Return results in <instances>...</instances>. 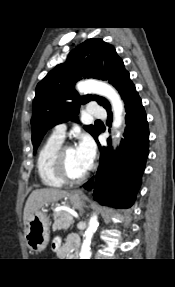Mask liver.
Segmentation results:
<instances>
[{
    "instance_id": "liver-1",
    "label": "liver",
    "mask_w": 175,
    "mask_h": 287,
    "mask_svg": "<svg viewBox=\"0 0 175 287\" xmlns=\"http://www.w3.org/2000/svg\"><path fill=\"white\" fill-rule=\"evenodd\" d=\"M68 194V191L56 188H42L32 191L24 207V224L30 214L40 210V208H42L45 204L58 201Z\"/></svg>"
}]
</instances>
